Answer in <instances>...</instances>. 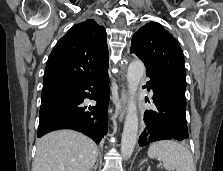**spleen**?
I'll use <instances>...</instances> for the list:
<instances>
[{
    "mask_svg": "<svg viewBox=\"0 0 223 171\" xmlns=\"http://www.w3.org/2000/svg\"><path fill=\"white\" fill-rule=\"evenodd\" d=\"M148 157L162 161L167 171H196V165L190 151L183 145L163 140L150 145Z\"/></svg>",
    "mask_w": 223,
    "mask_h": 171,
    "instance_id": "obj_1",
    "label": "spleen"
}]
</instances>
